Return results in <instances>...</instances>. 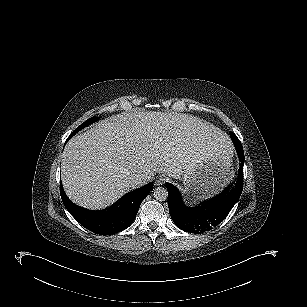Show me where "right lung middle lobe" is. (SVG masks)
<instances>
[{
  "label": "right lung middle lobe",
  "instance_id": "1",
  "mask_svg": "<svg viewBox=\"0 0 307 307\" xmlns=\"http://www.w3.org/2000/svg\"><path fill=\"white\" fill-rule=\"evenodd\" d=\"M97 119H98V118L95 117V118H90V119L86 120L84 123H82L78 128H76V129L73 131V133L69 136V138H68L67 140H69V139H70L75 133H77L79 130H81V129L85 128L86 126H88L89 124H91V123L97 121Z\"/></svg>",
  "mask_w": 307,
  "mask_h": 307
}]
</instances>
